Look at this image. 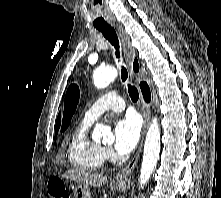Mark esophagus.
Masks as SVG:
<instances>
[{"label": "esophagus", "mask_w": 221, "mask_h": 198, "mask_svg": "<svg viewBox=\"0 0 221 198\" xmlns=\"http://www.w3.org/2000/svg\"><path fill=\"white\" fill-rule=\"evenodd\" d=\"M116 28H117V31H118L119 36L121 38V41H122L124 58H125V61L129 67V70H130L131 79L133 80L134 84L138 87V79L135 76V74L133 72V67H132L133 60H134V50L132 48L130 39L121 26L117 25ZM141 112H142V115L144 118V124H143V131H142V136H141V141H140L139 147H138L137 152L135 153L134 157L128 163V165L123 170H121L116 176H114V178L112 180L114 183L124 182L127 179V177L133 172V170L136 167L137 162L140 158V154L142 152V147H143L144 137H145L147 128L149 126L150 116H151L150 107L143 105L142 99H141Z\"/></svg>", "instance_id": "esophagus-1"}]
</instances>
